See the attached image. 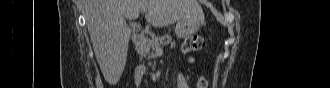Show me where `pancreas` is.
I'll list each match as a JSON object with an SVG mask.
<instances>
[{
  "instance_id": "cf45deb5",
  "label": "pancreas",
  "mask_w": 330,
  "mask_h": 88,
  "mask_svg": "<svg viewBox=\"0 0 330 88\" xmlns=\"http://www.w3.org/2000/svg\"><path fill=\"white\" fill-rule=\"evenodd\" d=\"M166 44L175 46V43L172 42V37L169 33L163 36H153L151 39H146L141 43V55L143 57H147L148 59H153L155 57L154 51L157 47H162Z\"/></svg>"
}]
</instances>
